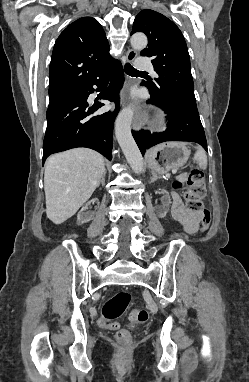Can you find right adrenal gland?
I'll return each mask as SVG.
<instances>
[{
    "instance_id": "2a0ac1e0",
    "label": "right adrenal gland",
    "mask_w": 249,
    "mask_h": 382,
    "mask_svg": "<svg viewBox=\"0 0 249 382\" xmlns=\"http://www.w3.org/2000/svg\"><path fill=\"white\" fill-rule=\"evenodd\" d=\"M105 175H106V170H105V172H104V174H103V176H102V178H101V180L99 181V183H98L97 186H99L100 183H101L102 185H105Z\"/></svg>"
}]
</instances>
